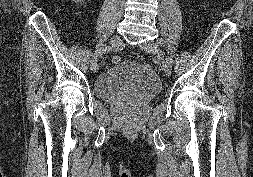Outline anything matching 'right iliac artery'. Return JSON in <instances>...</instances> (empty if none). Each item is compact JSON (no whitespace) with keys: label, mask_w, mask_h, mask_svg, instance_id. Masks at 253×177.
<instances>
[{"label":"right iliac artery","mask_w":253,"mask_h":177,"mask_svg":"<svg viewBox=\"0 0 253 177\" xmlns=\"http://www.w3.org/2000/svg\"><path fill=\"white\" fill-rule=\"evenodd\" d=\"M111 50H112V48L108 47V46H105V47H102L98 50H95L94 53L91 54L92 60L96 61L97 58L101 57V54H104V53L111 51Z\"/></svg>","instance_id":"obj_1"}]
</instances>
